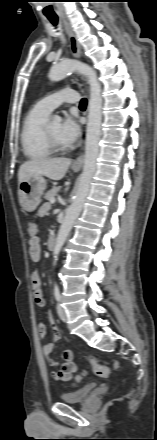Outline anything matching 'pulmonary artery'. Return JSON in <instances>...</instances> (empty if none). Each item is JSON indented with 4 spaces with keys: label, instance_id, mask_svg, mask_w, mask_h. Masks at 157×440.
<instances>
[{
    "label": "pulmonary artery",
    "instance_id": "e3ab8cb5",
    "mask_svg": "<svg viewBox=\"0 0 157 440\" xmlns=\"http://www.w3.org/2000/svg\"><path fill=\"white\" fill-rule=\"evenodd\" d=\"M79 100V95L76 91L65 89L54 92L37 102L35 105L37 109L45 114H50L55 108L62 103H76Z\"/></svg>",
    "mask_w": 157,
    "mask_h": 440
}]
</instances>
